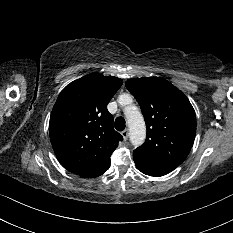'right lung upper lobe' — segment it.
<instances>
[{"label":"right lung upper lobe","instance_id":"right-lung-upper-lobe-1","mask_svg":"<svg viewBox=\"0 0 233 233\" xmlns=\"http://www.w3.org/2000/svg\"><path fill=\"white\" fill-rule=\"evenodd\" d=\"M121 85L120 78L91 73L59 94L49 134L59 162L68 171L94 178L109 169L110 156L123 137L114 130L106 106Z\"/></svg>","mask_w":233,"mask_h":233}]
</instances>
